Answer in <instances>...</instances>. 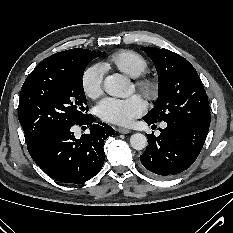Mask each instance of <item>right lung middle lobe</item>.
Here are the masks:
<instances>
[{
  "mask_svg": "<svg viewBox=\"0 0 233 233\" xmlns=\"http://www.w3.org/2000/svg\"><path fill=\"white\" fill-rule=\"evenodd\" d=\"M102 54L67 50L59 62H41L28 75L21 88L18 116L26 142L48 130L75 125L88 115L82 84L84 68Z\"/></svg>",
  "mask_w": 233,
  "mask_h": 233,
  "instance_id": "1",
  "label": "right lung middle lobe"
}]
</instances>
